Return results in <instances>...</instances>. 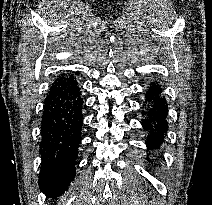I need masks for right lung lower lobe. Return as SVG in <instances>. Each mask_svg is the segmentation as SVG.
<instances>
[{"label": "right lung lower lobe", "instance_id": "98d812e1", "mask_svg": "<svg viewBox=\"0 0 212 205\" xmlns=\"http://www.w3.org/2000/svg\"><path fill=\"white\" fill-rule=\"evenodd\" d=\"M82 106L75 76L69 73L56 76L44 101L41 120L39 187L47 197L59 196L74 179L81 141Z\"/></svg>", "mask_w": 212, "mask_h": 205}]
</instances>
